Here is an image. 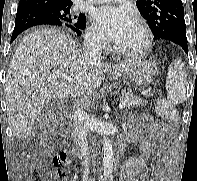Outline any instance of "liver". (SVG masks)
<instances>
[{"mask_svg": "<svg viewBox=\"0 0 197 181\" xmlns=\"http://www.w3.org/2000/svg\"><path fill=\"white\" fill-rule=\"evenodd\" d=\"M132 61L109 65L90 63L72 37L60 30L40 28L23 37L6 75L7 115L13 134L27 138L51 99L91 94L103 81V72L114 78L130 71ZM60 71L74 79L70 84L52 76Z\"/></svg>", "mask_w": 197, "mask_h": 181, "instance_id": "1", "label": "liver"}]
</instances>
